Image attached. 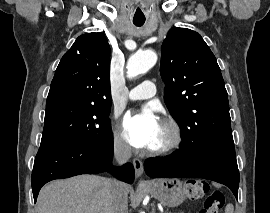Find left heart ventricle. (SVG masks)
Wrapping results in <instances>:
<instances>
[{
	"label": "left heart ventricle",
	"instance_id": "b2bd125f",
	"mask_svg": "<svg viewBox=\"0 0 270 213\" xmlns=\"http://www.w3.org/2000/svg\"><path fill=\"white\" fill-rule=\"evenodd\" d=\"M167 139V131L166 128L160 123L156 137L150 146V148H155L162 145Z\"/></svg>",
	"mask_w": 270,
	"mask_h": 213
}]
</instances>
